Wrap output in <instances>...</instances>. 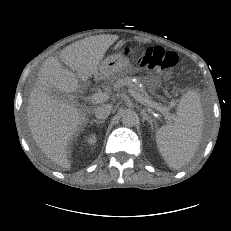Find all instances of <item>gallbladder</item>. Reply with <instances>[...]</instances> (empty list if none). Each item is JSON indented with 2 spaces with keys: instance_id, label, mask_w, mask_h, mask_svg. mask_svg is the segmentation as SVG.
I'll return each mask as SVG.
<instances>
[{
  "instance_id": "1",
  "label": "gallbladder",
  "mask_w": 231,
  "mask_h": 231,
  "mask_svg": "<svg viewBox=\"0 0 231 231\" xmlns=\"http://www.w3.org/2000/svg\"><path fill=\"white\" fill-rule=\"evenodd\" d=\"M51 94H53L57 98H62V93L56 89H51Z\"/></svg>"
}]
</instances>
